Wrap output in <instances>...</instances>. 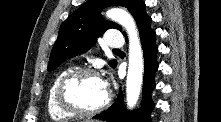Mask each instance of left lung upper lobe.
<instances>
[{
    "label": "left lung upper lobe",
    "mask_w": 221,
    "mask_h": 122,
    "mask_svg": "<svg viewBox=\"0 0 221 122\" xmlns=\"http://www.w3.org/2000/svg\"><path fill=\"white\" fill-rule=\"evenodd\" d=\"M138 0H89L70 15L61 25L52 48L48 71L55 70L67 59L86 52L107 29L122 30L121 26L103 20L100 12L107 6H123L132 13ZM116 60L110 61L116 66Z\"/></svg>",
    "instance_id": "5c2ea615"
}]
</instances>
